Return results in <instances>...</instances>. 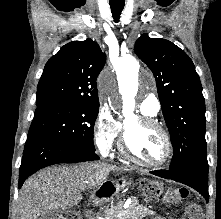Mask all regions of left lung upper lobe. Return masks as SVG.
<instances>
[{"label": "left lung upper lobe", "instance_id": "1", "mask_svg": "<svg viewBox=\"0 0 221 219\" xmlns=\"http://www.w3.org/2000/svg\"><path fill=\"white\" fill-rule=\"evenodd\" d=\"M135 52L156 79L174 150L169 169L207 156L205 100L192 60L174 43L146 34L137 39Z\"/></svg>", "mask_w": 221, "mask_h": 219}]
</instances>
